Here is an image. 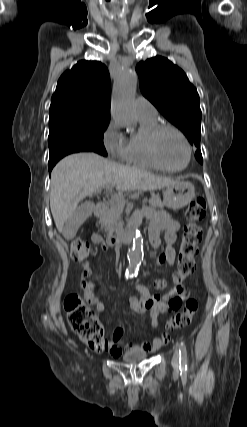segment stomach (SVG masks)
I'll list each match as a JSON object with an SVG mask.
<instances>
[{
	"mask_svg": "<svg viewBox=\"0 0 247 427\" xmlns=\"http://www.w3.org/2000/svg\"><path fill=\"white\" fill-rule=\"evenodd\" d=\"M194 196L195 187L191 182L177 180L164 191V205L177 210L188 205Z\"/></svg>",
	"mask_w": 247,
	"mask_h": 427,
	"instance_id": "0dacf381",
	"label": "stomach"
}]
</instances>
